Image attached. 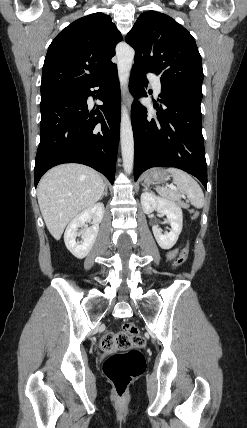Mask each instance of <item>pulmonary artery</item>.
<instances>
[{
    "mask_svg": "<svg viewBox=\"0 0 247 428\" xmlns=\"http://www.w3.org/2000/svg\"><path fill=\"white\" fill-rule=\"evenodd\" d=\"M149 79L152 82L154 91L157 95H159L161 93V82L159 80V78L157 76H155L154 74H148Z\"/></svg>",
    "mask_w": 247,
    "mask_h": 428,
    "instance_id": "e3ab8cb5",
    "label": "pulmonary artery"
}]
</instances>
